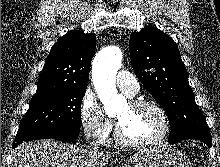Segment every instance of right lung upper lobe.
Masks as SVG:
<instances>
[{
    "label": "right lung upper lobe",
    "mask_w": 220,
    "mask_h": 167,
    "mask_svg": "<svg viewBox=\"0 0 220 167\" xmlns=\"http://www.w3.org/2000/svg\"><path fill=\"white\" fill-rule=\"evenodd\" d=\"M95 47L96 41L93 33L85 34L79 30L67 32L51 48L33 99L65 88L87 87Z\"/></svg>",
    "instance_id": "cb5924a9"
}]
</instances>
